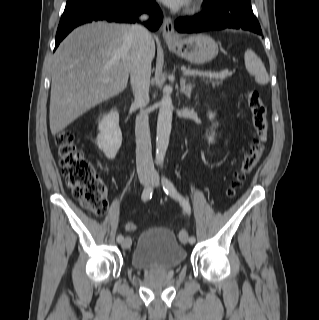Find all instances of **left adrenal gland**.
<instances>
[{"label":"left adrenal gland","mask_w":319,"mask_h":320,"mask_svg":"<svg viewBox=\"0 0 319 320\" xmlns=\"http://www.w3.org/2000/svg\"><path fill=\"white\" fill-rule=\"evenodd\" d=\"M195 86L194 83L189 82L186 84V79L181 77L180 79V91L184 93L188 99L191 97L192 88Z\"/></svg>","instance_id":"1"}]
</instances>
